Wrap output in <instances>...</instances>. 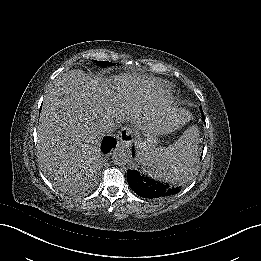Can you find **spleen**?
Instances as JSON below:
<instances>
[{"label":"spleen","mask_w":261,"mask_h":261,"mask_svg":"<svg viewBox=\"0 0 261 261\" xmlns=\"http://www.w3.org/2000/svg\"><path fill=\"white\" fill-rule=\"evenodd\" d=\"M198 128L192 126L168 147L151 148L140 162L149 168L155 177L173 184L186 177L198 159Z\"/></svg>","instance_id":"1"}]
</instances>
